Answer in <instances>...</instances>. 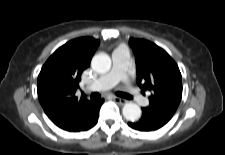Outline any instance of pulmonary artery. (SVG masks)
Listing matches in <instances>:
<instances>
[{
	"label": "pulmonary artery",
	"instance_id": "1",
	"mask_svg": "<svg viewBox=\"0 0 225 155\" xmlns=\"http://www.w3.org/2000/svg\"><path fill=\"white\" fill-rule=\"evenodd\" d=\"M113 66L107 73L99 77L90 87L91 90L103 91L112 88L118 82L126 83L127 92L140 104H146L147 99L139 94V91L128 82L127 71L129 63V52L126 47H119L112 53Z\"/></svg>",
	"mask_w": 225,
	"mask_h": 155
}]
</instances>
